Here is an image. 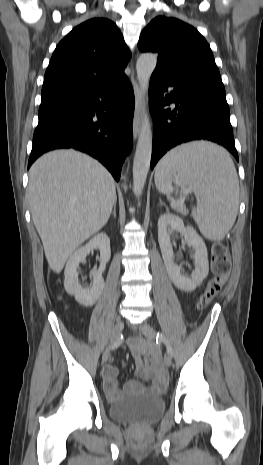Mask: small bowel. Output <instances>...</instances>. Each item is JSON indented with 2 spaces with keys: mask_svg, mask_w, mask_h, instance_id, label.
Returning a JSON list of instances; mask_svg holds the SVG:
<instances>
[{
  "mask_svg": "<svg viewBox=\"0 0 263 465\" xmlns=\"http://www.w3.org/2000/svg\"><path fill=\"white\" fill-rule=\"evenodd\" d=\"M197 326V322H192V327ZM128 345L135 362L136 374L147 383L145 387L155 392L163 391L167 386L168 377L147 342L141 338L133 337L129 340ZM117 376L118 369L114 365L109 363L104 367V388L112 399L120 395ZM142 387L143 385L138 381H130L126 384V389Z\"/></svg>",
  "mask_w": 263,
  "mask_h": 465,
  "instance_id": "obj_1",
  "label": "small bowel"
}]
</instances>
